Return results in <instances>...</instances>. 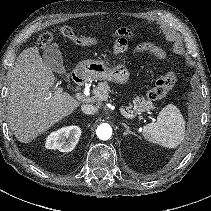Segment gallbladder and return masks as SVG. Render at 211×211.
I'll return each instance as SVG.
<instances>
[{
    "instance_id": "obj_1",
    "label": "gallbladder",
    "mask_w": 211,
    "mask_h": 211,
    "mask_svg": "<svg viewBox=\"0 0 211 211\" xmlns=\"http://www.w3.org/2000/svg\"><path fill=\"white\" fill-rule=\"evenodd\" d=\"M46 64L57 73H64L63 57L56 43L49 45L43 52Z\"/></svg>"
}]
</instances>
